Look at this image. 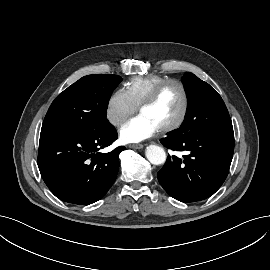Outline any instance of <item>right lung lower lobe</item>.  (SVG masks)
<instances>
[{"mask_svg":"<svg viewBox=\"0 0 270 270\" xmlns=\"http://www.w3.org/2000/svg\"><path fill=\"white\" fill-rule=\"evenodd\" d=\"M116 139L112 125L98 133L41 132L38 167L45 184L65 202L88 205L98 201L114 183L119 154L125 147L105 154L99 150Z\"/></svg>","mask_w":270,"mask_h":270,"instance_id":"1","label":"right lung lower lobe"}]
</instances>
